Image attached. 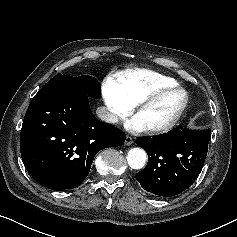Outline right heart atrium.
Here are the masks:
<instances>
[{
  "label": "right heart atrium",
  "mask_w": 237,
  "mask_h": 237,
  "mask_svg": "<svg viewBox=\"0 0 237 237\" xmlns=\"http://www.w3.org/2000/svg\"><path fill=\"white\" fill-rule=\"evenodd\" d=\"M101 92L110 123H116L131 113L133 105L123 96L112 77L103 82Z\"/></svg>",
  "instance_id": "1"
}]
</instances>
